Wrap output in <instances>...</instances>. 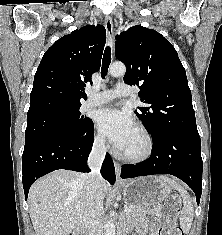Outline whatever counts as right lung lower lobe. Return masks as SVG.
Here are the masks:
<instances>
[{
  "label": "right lung lower lobe",
  "instance_id": "right-lung-lower-lobe-1",
  "mask_svg": "<svg viewBox=\"0 0 222 235\" xmlns=\"http://www.w3.org/2000/svg\"><path fill=\"white\" fill-rule=\"evenodd\" d=\"M94 141V125L75 138L50 137L24 147L22 174L25 199L32 183L57 169L90 172L87 159ZM102 176L110 183L115 182V167L106 154L101 168Z\"/></svg>",
  "mask_w": 222,
  "mask_h": 235
}]
</instances>
